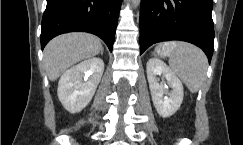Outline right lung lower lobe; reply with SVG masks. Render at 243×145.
Returning <instances> with one entry per match:
<instances>
[{
	"instance_id": "98d812e1",
	"label": "right lung lower lobe",
	"mask_w": 243,
	"mask_h": 145,
	"mask_svg": "<svg viewBox=\"0 0 243 145\" xmlns=\"http://www.w3.org/2000/svg\"><path fill=\"white\" fill-rule=\"evenodd\" d=\"M122 0H47L41 48L55 36L74 31L99 36L112 51Z\"/></svg>"
}]
</instances>
